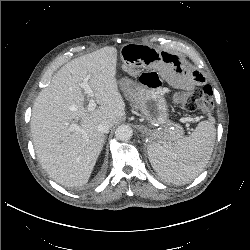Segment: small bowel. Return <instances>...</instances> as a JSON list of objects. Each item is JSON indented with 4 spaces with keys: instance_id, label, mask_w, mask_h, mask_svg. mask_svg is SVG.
I'll return each mask as SVG.
<instances>
[{
    "instance_id": "small-bowel-1",
    "label": "small bowel",
    "mask_w": 250,
    "mask_h": 250,
    "mask_svg": "<svg viewBox=\"0 0 250 250\" xmlns=\"http://www.w3.org/2000/svg\"><path fill=\"white\" fill-rule=\"evenodd\" d=\"M121 57L124 70L132 76L163 70L175 74L173 68L179 66L173 55L165 52L159 53L147 46H126L121 51ZM172 78L178 86L186 90H193L204 83V77L197 71H188L182 76L175 74Z\"/></svg>"
}]
</instances>
